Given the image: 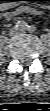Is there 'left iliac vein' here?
<instances>
[{
  "label": "left iliac vein",
  "instance_id": "4c4485c4",
  "mask_svg": "<svg viewBox=\"0 0 50 111\" xmlns=\"http://www.w3.org/2000/svg\"><path fill=\"white\" fill-rule=\"evenodd\" d=\"M19 32H20V33H21V32H24V30H23V29H20Z\"/></svg>",
  "mask_w": 50,
  "mask_h": 111
}]
</instances>
